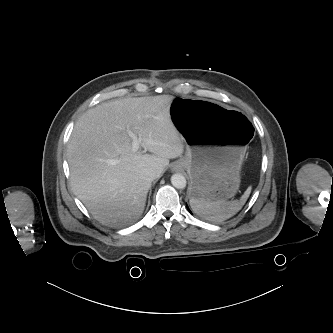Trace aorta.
I'll return each instance as SVG.
<instances>
[{"mask_svg": "<svg viewBox=\"0 0 333 333\" xmlns=\"http://www.w3.org/2000/svg\"><path fill=\"white\" fill-rule=\"evenodd\" d=\"M171 183L177 189H184L186 187V178L182 174L176 173L172 175Z\"/></svg>", "mask_w": 333, "mask_h": 333, "instance_id": "762f6f07", "label": "aorta"}]
</instances>
